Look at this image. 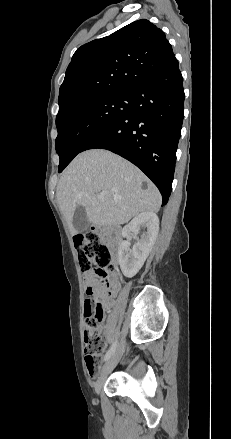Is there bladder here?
<instances>
[{
  "label": "bladder",
  "instance_id": "1",
  "mask_svg": "<svg viewBox=\"0 0 231 439\" xmlns=\"http://www.w3.org/2000/svg\"><path fill=\"white\" fill-rule=\"evenodd\" d=\"M135 368H136V364H135V362H131V363L129 364V370H130V371H134Z\"/></svg>",
  "mask_w": 231,
  "mask_h": 439
}]
</instances>
